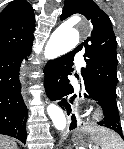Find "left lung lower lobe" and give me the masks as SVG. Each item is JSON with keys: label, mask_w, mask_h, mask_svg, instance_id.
<instances>
[{"label": "left lung lower lobe", "mask_w": 124, "mask_h": 149, "mask_svg": "<svg viewBox=\"0 0 124 149\" xmlns=\"http://www.w3.org/2000/svg\"><path fill=\"white\" fill-rule=\"evenodd\" d=\"M74 55L75 53L71 51L49 61L44 68V86L47 96L52 101L58 102L61 107L67 110L68 114L71 113L68 102L72 103L75 99V95L69 98V95L73 93V87L68 80V74L73 71ZM82 89L85 91L84 97L95 100L96 104L101 106L103 110L104 118L98 124L113 130L124 140L116 96L110 91L86 81L84 78L82 79ZM71 118L70 130L77 127L75 116L72 115Z\"/></svg>", "instance_id": "obj_1"}]
</instances>
